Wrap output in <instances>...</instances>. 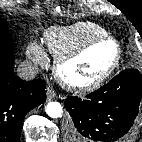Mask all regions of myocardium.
I'll list each match as a JSON object with an SVG mask.
<instances>
[{
	"label": "myocardium",
	"mask_w": 142,
	"mask_h": 142,
	"mask_svg": "<svg viewBox=\"0 0 142 142\" xmlns=\"http://www.w3.org/2000/svg\"><path fill=\"white\" fill-rule=\"evenodd\" d=\"M105 42H110L115 47V56L111 64L107 67V69L104 72H102L95 79L85 83H78L67 77V75L64 73V68L68 64L81 58L88 51ZM121 57H122V48L119 42L116 39L108 35H105L102 37L92 39L87 43H85L84 45L80 46L79 48L58 57L54 64V74L58 79V81L61 83V85L70 91L76 93L91 92L99 88L105 81H107L113 75V73L116 71V69L118 68L121 62Z\"/></svg>",
	"instance_id": "1"
}]
</instances>
